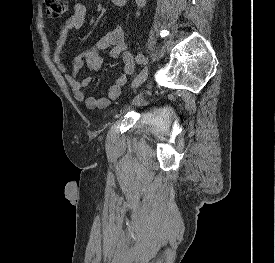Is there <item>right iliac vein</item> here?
I'll return each instance as SVG.
<instances>
[{
    "label": "right iliac vein",
    "mask_w": 275,
    "mask_h": 263,
    "mask_svg": "<svg viewBox=\"0 0 275 263\" xmlns=\"http://www.w3.org/2000/svg\"><path fill=\"white\" fill-rule=\"evenodd\" d=\"M148 77V69L144 68L141 73L135 78V80L132 83V88L138 87L140 84H142Z\"/></svg>",
    "instance_id": "right-iliac-vein-1"
}]
</instances>
